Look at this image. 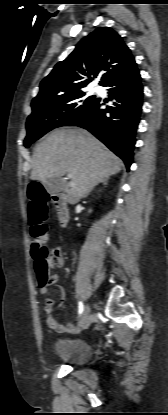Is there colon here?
Segmentation results:
<instances>
[{
	"label": "colon",
	"mask_w": 168,
	"mask_h": 415,
	"mask_svg": "<svg viewBox=\"0 0 168 415\" xmlns=\"http://www.w3.org/2000/svg\"><path fill=\"white\" fill-rule=\"evenodd\" d=\"M29 224L32 237V255L35 260V269L42 286L49 282V271L53 262L52 253L45 245L47 225L45 224L48 212L49 196L39 184L29 187Z\"/></svg>",
	"instance_id": "5ec220e1"
}]
</instances>
